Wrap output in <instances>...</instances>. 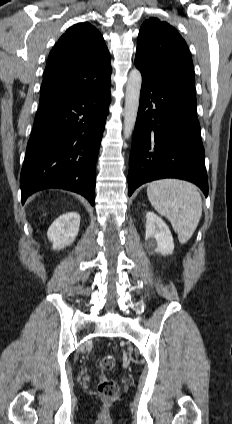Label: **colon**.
Wrapping results in <instances>:
<instances>
[{
	"mask_svg": "<svg viewBox=\"0 0 232 424\" xmlns=\"http://www.w3.org/2000/svg\"><path fill=\"white\" fill-rule=\"evenodd\" d=\"M116 364V360L112 355H106L100 360V377L98 379L96 389L98 394L106 399H113L117 396L119 388L117 383L106 377L105 373L111 371Z\"/></svg>",
	"mask_w": 232,
	"mask_h": 424,
	"instance_id": "1",
	"label": "colon"
}]
</instances>
